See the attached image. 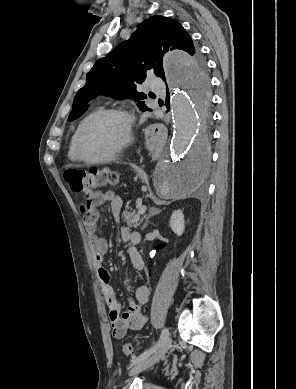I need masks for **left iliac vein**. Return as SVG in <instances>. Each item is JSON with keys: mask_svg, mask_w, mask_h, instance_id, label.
<instances>
[{"mask_svg": "<svg viewBox=\"0 0 296 389\" xmlns=\"http://www.w3.org/2000/svg\"><path fill=\"white\" fill-rule=\"evenodd\" d=\"M172 338L168 335L157 347L154 354L151 356L140 360L138 363H136L130 370V375H136L139 372H142L149 367L156 364L169 350L171 347Z\"/></svg>", "mask_w": 296, "mask_h": 389, "instance_id": "left-iliac-vein-1", "label": "left iliac vein"}]
</instances>
